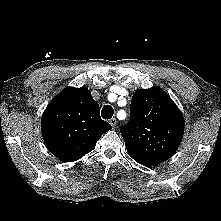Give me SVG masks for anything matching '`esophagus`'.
<instances>
[{"label": "esophagus", "instance_id": "obj_1", "mask_svg": "<svg viewBox=\"0 0 221 221\" xmlns=\"http://www.w3.org/2000/svg\"><path fill=\"white\" fill-rule=\"evenodd\" d=\"M111 126L114 128L117 124V120L115 118H112L110 121Z\"/></svg>", "mask_w": 221, "mask_h": 221}]
</instances>
